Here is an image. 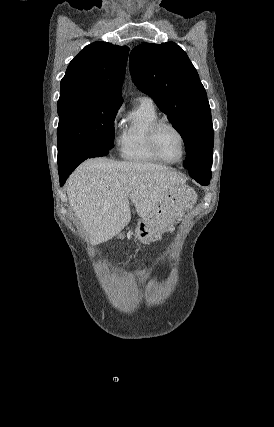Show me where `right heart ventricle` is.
Here are the masks:
<instances>
[{
    "instance_id": "e07e8e85",
    "label": "right heart ventricle",
    "mask_w": 274,
    "mask_h": 427,
    "mask_svg": "<svg viewBox=\"0 0 274 427\" xmlns=\"http://www.w3.org/2000/svg\"><path fill=\"white\" fill-rule=\"evenodd\" d=\"M157 121L159 116L155 107L139 105L130 113L118 140L119 154L123 159L139 163H162L148 144L149 131Z\"/></svg>"
}]
</instances>
